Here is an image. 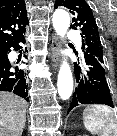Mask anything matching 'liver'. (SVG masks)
I'll use <instances>...</instances> for the list:
<instances>
[{
  "label": "liver",
  "instance_id": "liver-1",
  "mask_svg": "<svg viewBox=\"0 0 117 136\" xmlns=\"http://www.w3.org/2000/svg\"><path fill=\"white\" fill-rule=\"evenodd\" d=\"M26 122V101L0 91V136H21Z\"/></svg>",
  "mask_w": 117,
  "mask_h": 136
}]
</instances>
